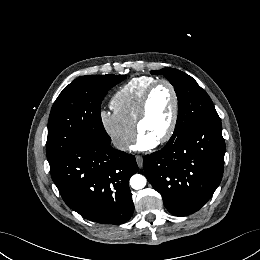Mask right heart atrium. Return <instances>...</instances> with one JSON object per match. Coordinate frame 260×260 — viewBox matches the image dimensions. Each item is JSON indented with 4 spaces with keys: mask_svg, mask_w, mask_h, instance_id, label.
Here are the masks:
<instances>
[{
    "mask_svg": "<svg viewBox=\"0 0 260 260\" xmlns=\"http://www.w3.org/2000/svg\"><path fill=\"white\" fill-rule=\"evenodd\" d=\"M99 120L112 145L120 151H126L135 138V125L127 122L114 110H101Z\"/></svg>",
    "mask_w": 260,
    "mask_h": 260,
    "instance_id": "right-heart-atrium-1",
    "label": "right heart atrium"
}]
</instances>
